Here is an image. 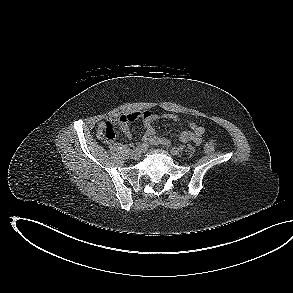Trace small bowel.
Returning a JSON list of instances; mask_svg holds the SVG:
<instances>
[{"mask_svg": "<svg viewBox=\"0 0 293 293\" xmlns=\"http://www.w3.org/2000/svg\"><path fill=\"white\" fill-rule=\"evenodd\" d=\"M122 117L127 122L141 118L145 128V132L143 135L144 141L154 145H165V146L168 145L169 142L165 138L156 136L154 122L160 119H168L171 121L179 120V116L176 114L158 115L150 111L134 112L131 114L124 115ZM188 126H189V130L181 132L179 135V140L184 143H194L196 145L203 144V136L205 133V128L195 122H189ZM103 127H104V122H100L98 124V134L102 131ZM123 132L127 138L132 137V134L127 125L123 128ZM208 143L212 144L213 146L215 144L213 141H208L206 144Z\"/></svg>", "mask_w": 293, "mask_h": 293, "instance_id": "small-bowel-1", "label": "small bowel"}]
</instances>
